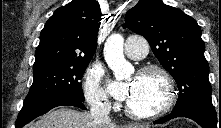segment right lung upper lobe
<instances>
[{
	"instance_id": "cb5924a9",
	"label": "right lung upper lobe",
	"mask_w": 221,
	"mask_h": 128,
	"mask_svg": "<svg viewBox=\"0 0 221 128\" xmlns=\"http://www.w3.org/2000/svg\"><path fill=\"white\" fill-rule=\"evenodd\" d=\"M102 19L96 0H73L55 10L41 31L33 71L91 60Z\"/></svg>"
}]
</instances>
